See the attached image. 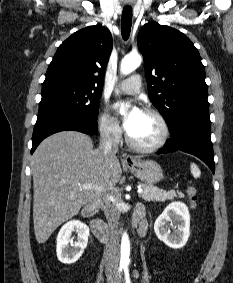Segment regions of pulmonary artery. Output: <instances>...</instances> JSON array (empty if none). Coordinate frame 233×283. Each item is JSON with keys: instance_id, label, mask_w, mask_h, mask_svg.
<instances>
[{"instance_id": "obj_1", "label": "pulmonary artery", "mask_w": 233, "mask_h": 283, "mask_svg": "<svg viewBox=\"0 0 233 283\" xmlns=\"http://www.w3.org/2000/svg\"><path fill=\"white\" fill-rule=\"evenodd\" d=\"M120 90L126 94H136L141 89V77L135 74L122 81L119 85Z\"/></svg>"}]
</instances>
